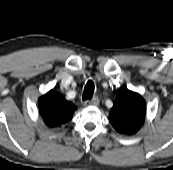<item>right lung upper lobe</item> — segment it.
Returning <instances> with one entry per match:
<instances>
[{
  "label": "right lung upper lobe",
  "instance_id": "1",
  "mask_svg": "<svg viewBox=\"0 0 173 170\" xmlns=\"http://www.w3.org/2000/svg\"><path fill=\"white\" fill-rule=\"evenodd\" d=\"M39 112L48 127H59L71 120L76 106L67 101L62 94L50 90L39 101Z\"/></svg>",
  "mask_w": 173,
  "mask_h": 170
}]
</instances>
